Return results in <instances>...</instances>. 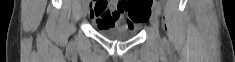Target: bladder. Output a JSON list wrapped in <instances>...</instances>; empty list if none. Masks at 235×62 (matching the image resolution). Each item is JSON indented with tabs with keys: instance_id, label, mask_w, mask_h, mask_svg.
<instances>
[{
	"instance_id": "bladder-1",
	"label": "bladder",
	"mask_w": 235,
	"mask_h": 62,
	"mask_svg": "<svg viewBox=\"0 0 235 62\" xmlns=\"http://www.w3.org/2000/svg\"><path fill=\"white\" fill-rule=\"evenodd\" d=\"M97 32L103 37L113 40V41H126L133 38L138 29L137 28H125V27H112V28H102L98 27Z\"/></svg>"
}]
</instances>
